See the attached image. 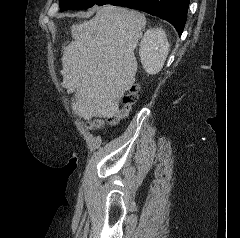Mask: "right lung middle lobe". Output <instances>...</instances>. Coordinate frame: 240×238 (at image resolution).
<instances>
[{
	"label": "right lung middle lobe",
	"mask_w": 240,
	"mask_h": 238,
	"mask_svg": "<svg viewBox=\"0 0 240 238\" xmlns=\"http://www.w3.org/2000/svg\"><path fill=\"white\" fill-rule=\"evenodd\" d=\"M113 0H59L60 9L62 11L69 9H87L93 5L102 6L108 4Z\"/></svg>",
	"instance_id": "right-lung-middle-lobe-1"
}]
</instances>
